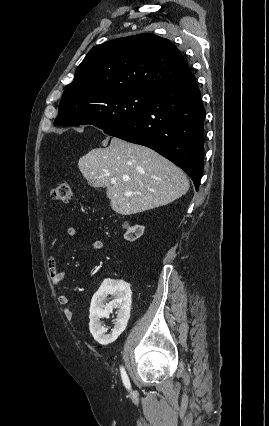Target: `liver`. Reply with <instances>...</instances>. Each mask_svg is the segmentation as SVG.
I'll list each match as a JSON object with an SVG mask.
<instances>
[{
	"label": "liver",
	"mask_w": 269,
	"mask_h": 426,
	"mask_svg": "<svg viewBox=\"0 0 269 426\" xmlns=\"http://www.w3.org/2000/svg\"><path fill=\"white\" fill-rule=\"evenodd\" d=\"M78 167L92 187H106L111 208L131 215L167 205L185 195V173L152 149L113 137L107 148L82 156ZM115 178L116 182L111 183ZM125 192H132L126 196Z\"/></svg>",
	"instance_id": "liver-1"
}]
</instances>
